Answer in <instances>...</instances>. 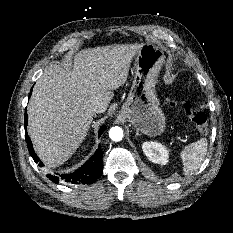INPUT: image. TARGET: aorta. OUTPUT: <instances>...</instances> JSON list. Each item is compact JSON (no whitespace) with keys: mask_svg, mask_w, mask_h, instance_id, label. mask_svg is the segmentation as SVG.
<instances>
[{"mask_svg":"<svg viewBox=\"0 0 233 233\" xmlns=\"http://www.w3.org/2000/svg\"><path fill=\"white\" fill-rule=\"evenodd\" d=\"M109 137L111 140L118 142L123 138V130L121 127L115 126L109 130Z\"/></svg>","mask_w":233,"mask_h":233,"instance_id":"1","label":"aorta"}]
</instances>
